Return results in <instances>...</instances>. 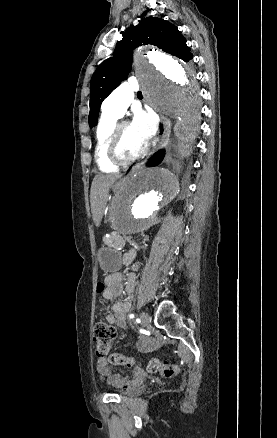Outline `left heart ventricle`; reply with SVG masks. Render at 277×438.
I'll list each match as a JSON object with an SVG mask.
<instances>
[{
    "instance_id": "obj_1",
    "label": "left heart ventricle",
    "mask_w": 277,
    "mask_h": 438,
    "mask_svg": "<svg viewBox=\"0 0 277 438\" xmlns=\"http://www.w3.org/2000/svg\"><path fill=\"white\" fill-rule=\"evenodd\" d=\"M144 148L132 125H126L121 132V151L125 157L138 155Z\"/></svg>"
}]
</instances>
